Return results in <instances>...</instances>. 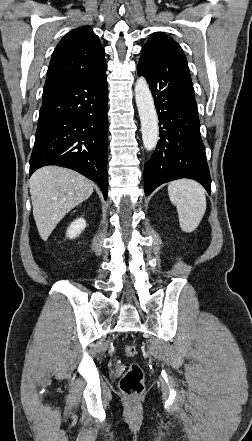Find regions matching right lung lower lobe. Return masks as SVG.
<instances>
[{"instance_id":"98d812e1","label":"right lung lower lobe","mask_w":252,"mask_h":441,"mask_svg":"<svg viewBox=\"0 0 252 441\" xmlns=\"http://www.w3.org/2000/svg\"><path fill=\"white\" fill-rule=\"evenodd\" d=\"M30 175L40 167L73 169L96 182L107 199L106 71L43 91Z\"/></svg>"}]
</instances>
